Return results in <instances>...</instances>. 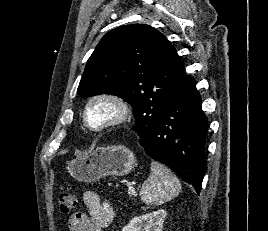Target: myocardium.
<instances>
[{
	"label": "myocardium",
	"instance_id": "1",
	"mask_svg": "<svg viewBox=\"0 0 268 231\" xmlns=\"http://www.w3.org/2000/svg\"><path fill=\"white\" fill-rule=\"evenodd\" d=\"M96 102H109L115 107V115L100 125H91L88 121L89 108ZM130 106L128 102L118 94L103 92L91 96L83 110V123L92 132L100 133L123 125L130 118Z\"/></svg>",
	"mask_w": 268,
	"mask_h": 231
}]
</instances>
